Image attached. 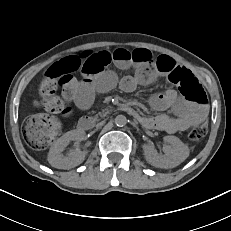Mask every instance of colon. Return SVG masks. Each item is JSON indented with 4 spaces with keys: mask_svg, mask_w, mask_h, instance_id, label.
Returning <instances> with one entry per match:
<instances>
[{
    "mask_svg": "<svg viewBox=\"0 0 231 231\" xmlns=\"http://www.w3.org/2000/svg\"><path fill=\"white\" fill-rule=\"evenodd\" d=\"M170 81L178 86L181 93L188 99L206 102V95L191 72L186 70L174 71ZM71 74L63 63L52 64L45 72L39 89L37 104L42 106L47 114H37L31 117L24 129V137L27 144L34 150L47 148L58 135L60 122L57 114H67L69 108L65 106L63 99L58 95L59 88H62L63 97H71L68 85ZM207 125L200 123L191 129L188 136L192 141H198L205 136Z\"/></svg>",
    "mask_w": 231,
    "mask_h": 231,
    "instance_id": "obj_1",
    "label": "colon"
}]
</instances>
